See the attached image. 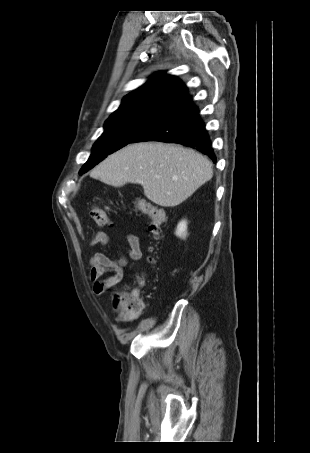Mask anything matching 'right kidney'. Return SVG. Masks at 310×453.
Wrapping results in <instances>:
<instances>
[{"label": "right kidney", "instance_id": "obj_1", "mask_svg": "<svg viewBox=\"0 0 310 453\" xmlns=\"http://www.w3.org/2000/svg\"><path fill=\"white\" fill-rule=\"evenodd\" d=\"M175 234H176V236H178L180 238L186 237V234H187V221L186 220H182L181 222H179V224L177 225Z\"/></svg>", "mask_w": 310, "mask_h": 453}]
</instances>
